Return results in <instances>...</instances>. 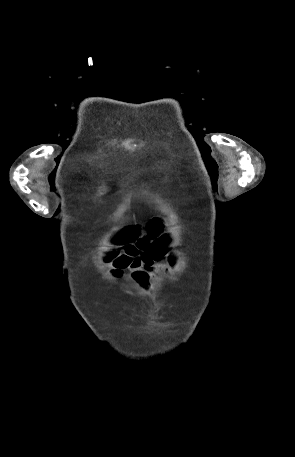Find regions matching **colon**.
<instances>
[{"instance_id":"1","label":"colon","mask_w":295,"mask_h":457,"mask_svg":"<svg viewBox=\"0 0 295 457\" xmlns=\"http://www.w3.org/2000/svg\"><path fill=\"white\" fill-rule=\"evenodd\" d=\"M136 251L134 249H128L125 253L114 257L113 266L115 272L120 273L123 269L131 268L137 265L134 259Z\"/></svg>"}]
</instances>
